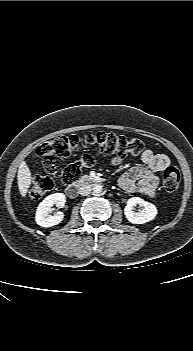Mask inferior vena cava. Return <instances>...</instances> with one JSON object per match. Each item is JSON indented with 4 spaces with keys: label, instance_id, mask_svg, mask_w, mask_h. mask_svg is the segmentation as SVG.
Returning a JSON list of instances; mask_svg holds the SVG:
<instances>
[{
    "label": "inferior vena cava",
    "instance_id": "1",
    "mask_svg": "<svg viewBox=\"0 0 193 351\" xmlns=\"http://www.w3.org/2000/svg\"><path fill=\"white\" fill-rule=\"evenodd\" d=\"M91 190H92L91 186L88 183H84L80 186L79 193L82 196H87L91 193Z\"/></svg>",
    "mask_w": 193,
    "mask_h": 351
}]
</instances>
